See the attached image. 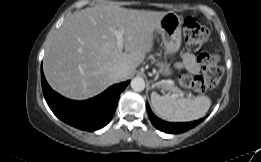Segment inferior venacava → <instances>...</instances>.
Segmentation results:
<instances>
[{
	"mask_svg": "<svg viewBox=\"0 0 261 162\" xmlns=\"http://www.w3.org/2000/svg\"><path fill=\"white\" fill-rule=\"evenodd\" d=\"M127 68L125 66H117L113 69V75L117 78H122L126 75Z\"/></svg>",
	"mask_w": 261,
	"mask_h": 162,
	"instance_id": "inferior-vena-cava-1",
	"label": "inferior vena cava"
}]
</instances>
